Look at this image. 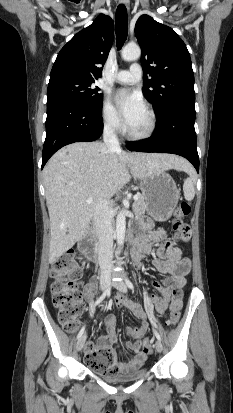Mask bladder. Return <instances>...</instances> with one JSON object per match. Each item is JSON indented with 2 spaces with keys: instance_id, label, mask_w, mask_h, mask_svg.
Returning <instances> with one entry per match:
<instances>
[{
  "instance_id": "31cf9c89",
  "label": "bladder",
  "mask_w": 233,
  "mask_h": 413,
  "mask_svg": "<svg viewBox=\"0 0 233 413\" xmlns=\"http://www.w3.org/2000/svg\"><path fill=\"white\" fill-rule=\"evenodd\" d=\"M147 373V370L143 367H136V368H130L125 371L113 374V375H108V374H101L99 373L100 376L106 381L109 382H127V381H132L136 379H140L143 376H145Z\"/></svg>"
}]
</instances>
